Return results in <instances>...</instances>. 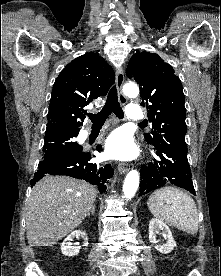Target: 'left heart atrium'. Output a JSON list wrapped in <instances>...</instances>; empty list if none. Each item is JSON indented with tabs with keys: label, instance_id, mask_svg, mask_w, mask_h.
<instances>
[{
	"label": "left heart atrium",
	"instance_id": "left-heart-atrium-1",
	"mask_svg": "<svg viewBox=\"0 0 221 276\" xmlns=\"http://www.w3.org/2000/svg\"><path fill=\"white\" fill-rule=\"evenodd\" d=\"M105 155L109 158L127 160L136 155L132 137L124 130L114 131L106 140Z\"/></svg>",
	"mask_w": 221,
	"mask_h": 276
}]
</instances>
